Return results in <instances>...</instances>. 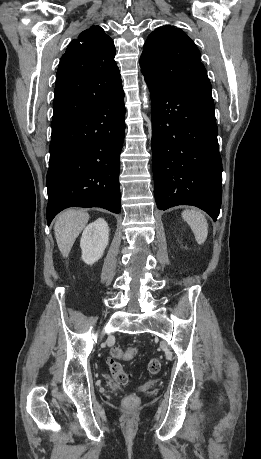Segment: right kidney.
<instances>
[{
	"label": "right kidney",
	"mask_w": 261,
	"mask_h": 459,
	"mask_svg": "<svg viewBox=\"0 0 261 459\" xmlns=\"http://www.w3.org/2000/svg\"><path fill=\"white\" fill-rule=\"evenodd\" d=\"M108 243V224L103 218H98L83 231L80 240L82 260L88 265L94 264L103 256Z\"/></svg>",
	"instance_id": "obj_1"
}]
</instances>
